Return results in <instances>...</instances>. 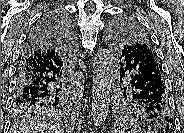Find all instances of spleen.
I'll list each match as a JSON object with an SVG mask.
<instances>
[{
  "label": "spleen",
  "instance_id": "3e777b00",
  "mask_svg": "<svg viewBox=\"0 0 184 133\" xmlns=\"http://www.w3.org/2000/svg\"><path fill=\"white\" fill-rule=\"evenodd\" d=\"M133 133H142V130H133Z\"/></svg>",
  "mask_w": 184,
  "mask_h": 133
}]
</instances>
